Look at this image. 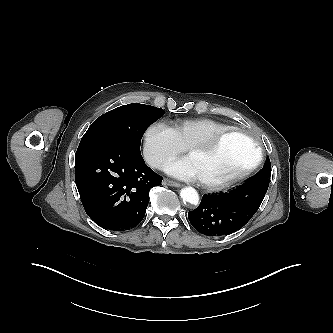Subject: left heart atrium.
Here are the masks:
<instances>
[{
	"label": "left heart atrium",
	"mask_w": 333,
	"mask_h": 333,
	"mask_svg": "<svg viewBox=\"0 0 333 333\" xmlns=\"http://www.w3.org/2000/svg\"><path fill=\"white\" fill-rule=\"evenodd\" d=\"M166 171L180 179L184 180H197L199 179L196 168L190 157H185L169 163Z\"/></svg>",
	"instance_id": "39dd6f15"
}]
</instances>
